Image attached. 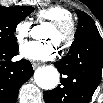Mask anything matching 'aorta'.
I'll list each match as a JSON object with an SVG mask.
<instances>
[{"instance_id": "762f6f07", "label": "aorta", "mask_w": 103, "mask_h": 103, "mask_svg": "<svg viewBox=\"0 0 103 103\" xmlns=\"http://www.w3.org/2000/svg\"><path fill=\"white\" fill-rule=\"evenodd\" d=\"M36 84L45 90L54 89L59 82V72L53 66L38 68L34 73Z\"/></svg>"}]
</instances>
